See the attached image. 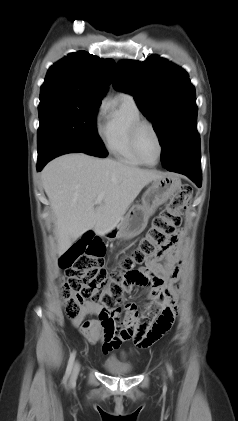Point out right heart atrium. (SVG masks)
Segmentation results:
<instances>
[{
  "mask_svg": "<svg viewBox=\"0 0 238 421\" xmlns=\"http://www.w3.org/2000/svg\"><path fill=\"white\" fill-rule=\"evenodd\" d=\"M105 108H106V103H105V101H102L101 104L98 107V110H97L96 120H97L98 123L100 121V118H101Z\"/></svg>",
  "mask_w": 238,
  "mask_h": 421,
  "instance_id": "1",
  "label": "right heart atrium"
}]
</instances>
